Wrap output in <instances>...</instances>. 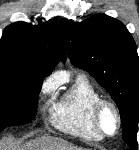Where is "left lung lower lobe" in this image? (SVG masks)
<instances>
[{"label":"left lung lower lobe","mask_w":139,"mask_h":150,"mask_svg":"<svg viewBox=\"0 0 139 150\" xmlns=\"http://www.w3.org/2000/svg\"><path fill=\"white\" fill-rule=\"evenodd\" d=\"M137 148H138L137 143H134V144L128 146L127 150H137Z\"/></svg>","instance_id":"obj_1"}]
</instances>
